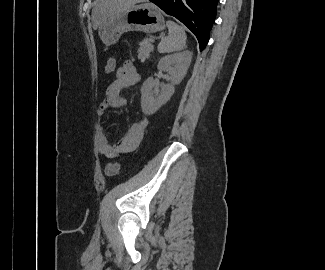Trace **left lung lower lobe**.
Masks as SVG:
<instances>
[{"label":"left lung lower lobe","mask_w":325,"mask_h":270,"mask_svg":"<svg viewBox=\"0 0 325 270\" xmlns=\"http://www.w3.org/2000/svg\"><path fill=\"white\" fill-rule=\"evenodd\" d=\"M166 14L174 16L197 37L200 51L208 40L215 21L218 0H150Z\"/></svg>","instance_id":"0a47b994"}]
</instances>
